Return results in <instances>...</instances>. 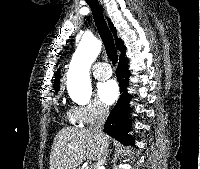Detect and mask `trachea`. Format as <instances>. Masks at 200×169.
Listing matches in <instances>:
<instances>
[{"instance_id":"trachea-1","label":"trachea","mask_w":200,"mask_h":169,"mask_svg":"<svg viewBox=\"0 0 200 169\" xmlns=\"http://www.w3.org/2000/svg\"><path fill=\"white\" fill-rule=\"evenodd\" d=\"M86 2L91 8L97 30L104 43L107 56L113 65H115L118 61V55L115 48L114 39L104 19L99 2L98 0H86Z\"/></svg>"}]
</instances>
